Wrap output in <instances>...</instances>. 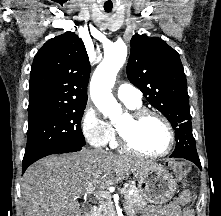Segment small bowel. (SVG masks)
<instances>
[{"mask_svg": "<svg viewBox=\"0 0 221 216\" xmlns=\"http://www.w3.org/2000/svg\"><path fill=\"white\" fill-rule=\"evenodd\" d=\"M192 201V194L183 192L172 203L164 207L162 216H194L193 211L187 207Z\"/></svg>", "mask_w": 221, "mask_h": 216, "instance_id": "small-bowel-1", "label": "small bowel"}]
</instances>
